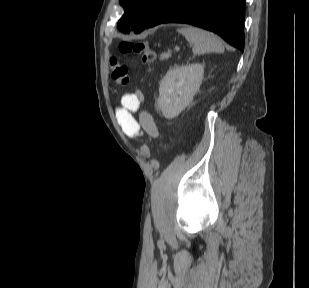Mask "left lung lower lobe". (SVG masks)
Here are the masks:
<instances>
[{
	"label": "left lung lower lobe",
	"mask_w": 309,
	"mask_h": 288,
	"mask_svg": "<svg viewBox=\"0 0 309 288\" xmlns=\"http://www.w3.org/2000/svg\"><path fill=\"white\" fill-rule=\"evenodd\" d=\"M244 18L245 0H166L144 29L170 22L192 24L217 33L243 52Z\"/></svg>",
	"instance_id": "0a47b994"
}]
</instances>
